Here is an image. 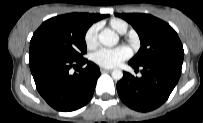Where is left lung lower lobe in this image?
<instances>
[{
	"mask_svg": "<svg viewBox=\"0 0 203 123\" xmlns=\"http://www.w3.org/2000/svg\"><path fill=\"white\" fill-rule=\"evenodd\" d=\"M181 60H158L143 65L129 64L142 68V77L137 78L124 72L117 83L121 100L130 108L147 112L162 105L176 86L182 69Z\"/></svg>",
	"mask_w": 203,
	"mask_h": 123,
	"instance_id": "obj_1",
	"label": "left lung lower lobe"
}]
</instances>
